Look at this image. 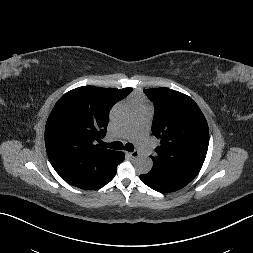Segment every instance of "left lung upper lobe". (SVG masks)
Segmentation results:
<instances>
[{
	"label": "left lung upper lobe",
	"instance_id": "5c2ea615",
	"mask_svg": "<svg viewBox=\"0 0 253 253\" xmlns=\"http://www.w3.org/2000/svg\"><path fill=\"white\" fill-rule=\"evenodd\" d=\"M155 106L152 133L160 146L151 156L153 168L190 178L199 173L209 144V129L198 105L189 96L169 88L144 89Z\"/></svg>",
	"mask_w": 253,
	"mask_h": 253
}]
</instances>
